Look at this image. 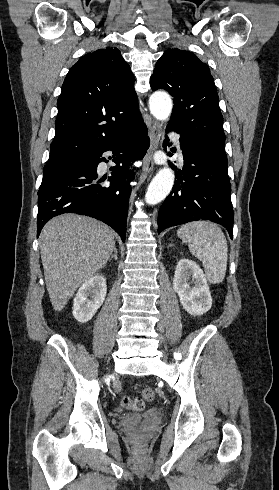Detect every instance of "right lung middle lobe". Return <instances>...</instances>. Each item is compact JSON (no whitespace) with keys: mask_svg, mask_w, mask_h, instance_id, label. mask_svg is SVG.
Instances as JSON below:
<instances>
[{"mask_svg":"<svg viewBox=\"0 0 279 490\" xmlns=\"http://www.w3.org/2000/svg\"><path fill=\"white\" fill-rule=\"evenodd\" d=\"M81 163L82 162L79 160V161H72V162L47 164L43 169L42 181L48 180L56 175H59L72 167L80 165Z\"/></svg>","mask_w":279,"mask_h":490,"instance_id":"1","label":"right lung middle lobe"}]
</instances>
